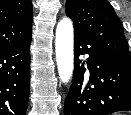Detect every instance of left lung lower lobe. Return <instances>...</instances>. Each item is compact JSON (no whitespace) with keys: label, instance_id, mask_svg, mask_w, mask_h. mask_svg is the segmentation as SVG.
<instances>
[{"label":"left lung lower lobe","instance_id":"obj_1","mask_svg":"<svg viewBox=\"0 0 131 115\" xmlns=\"http://www.w3.org/2000/svg\"><path fill=\"white\" fill-rule=\"evenodd\" d=\"M74 44L75 67L64 115L131 111V68L109 57L85 35L75 32ZM84 54L89 57L82 61L79 56Z\"/></svg>","mask_w":131,"mask_h":115}]
</instances>
